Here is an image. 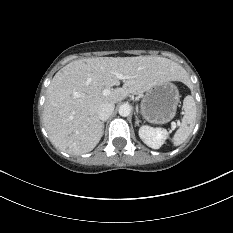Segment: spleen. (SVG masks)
<instances>
[{"label": "spleen", "mask_w": 233, "mask_h": 233, "mask_svg": "<svg viewBox=\"0 0 233 233\" xmlns=\"http://www.w3.org/2000/svg\"><path fill=\"white\" fill-rule=\"evenodd\" d=\"M184 116L178 130L175 132L172 142L174 146H179L192 133L196 121V103L193 96L188 95L183 101Z\"/></svg>", "instance_id": "3e777b00"}]
</instances>
